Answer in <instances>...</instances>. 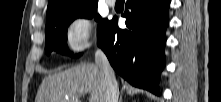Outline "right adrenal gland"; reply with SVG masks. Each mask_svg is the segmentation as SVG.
<instances>
[{"label":"right adrenal gland","mask_w":221,"mask_h":102,"mask_svg":"<svg viewBox=\"0 0 221 102\" xmlns=\"http://www.w3.org/2000/svg\"><path fill=\"white\" fill-rule=\"evenodd\" d=\"M119 102H122V95H120Z\"/></svg>","instance_id":"obj_1"}]
</instances>
